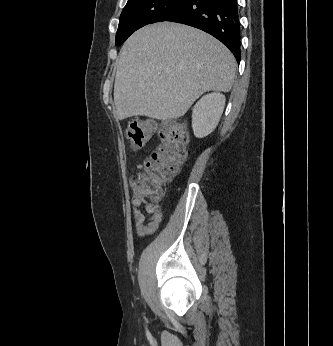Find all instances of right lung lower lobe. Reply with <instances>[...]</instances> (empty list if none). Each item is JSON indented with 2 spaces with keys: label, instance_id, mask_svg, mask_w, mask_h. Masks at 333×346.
Wrapping results in <instances>:
<instances>
[{
  "label": "right lung lower lobe",
  "instance_id": "right-lung-lower-lobe-1",
  "mask_svg": "<svg viewBox=\"0 0 333 346\" xmlns=\"http://www.w3.org/2000/svg\"><path fill=\"white\" fill-rule=\"evenodd\" d=\"M164 21L186 24L211 34L240 61L237 0H184Z\"/></svg>",
  "mask_w": 333,
  "mask_h": 346
}]
</instances>
